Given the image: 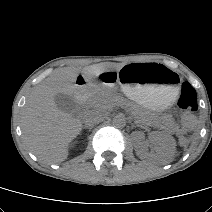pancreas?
Segmentation results:
<instances>
[{
  "label": "pancreas",
  "instance_id": "obj_1",
  "mask_svg": "<svg viewBox=\"0 0 212 212\" xmlns=\"http://www.w3.org/2000/svg\"><path fill=\"white\" fill-rule=\"evenodd\" d=\"M88 100L92 104L99 101L101 103V108L105 110H111L115 106L124 105L133 113L135 118L138 120V123L153 124L155 122L154 117L149 112L109 92H105L97 96H91Z\"/></svg>",
  "mask_w": 212,
  "mask_h": 212
}]
</instances>
